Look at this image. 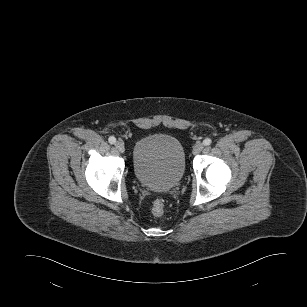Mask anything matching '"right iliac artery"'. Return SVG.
I'll return each mask as SVG.
<instances>
[{
	"instance_id": "obj_1",
	"label": "right iliac artery",
	"mask_w": 307,
	"mask_h": 307,
	"mask_svg": "<svg viewBox=\"0 0 307 307\" xmlns=\"http://www.w3.org/2000/svg\"><path fill=\"white\" fill-rule=\"evenodd\" d=\"M110 144H114L116 142V138L114 136L109 137L108 139Z\"/></svg>"
}]
</instances>
